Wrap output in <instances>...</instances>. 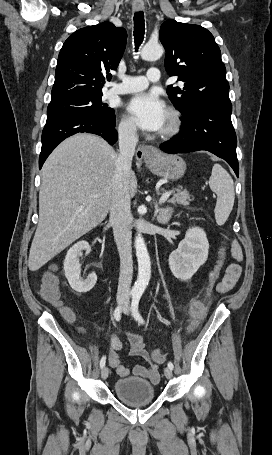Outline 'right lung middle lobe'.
Returning a JSON list of instances; mask_svg holds the SVG:
<instances>
[{"label":"right lung middle lobe","instance_id":"dd1d6c3e","mask_svg":"<svg viewBox=\"0 0 272 455\" xmlns=\"http://www.w3.org/2000/svg\"><path fill=\"white\" fill-rule=\"evenodd\" d=\"M102 95L73 96L51 101L47 108V120L69 115H91L106 120L114 119V109L102 103Z\"/></svg>","mask_w":272,"mask_h":455}]
</instances>
